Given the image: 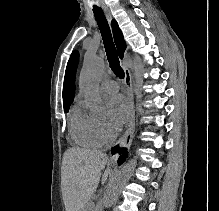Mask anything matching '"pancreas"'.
Segmentation results:
<instances>
[{"instance_id":"pancreas-1","label":"pancreas","mask_w":219,"mask_h":211,"mask_svg":"<svg viewBox=\"0 0 219 211\" xmlns=\"http://www.w3.org/2000/svg\"><path fill=\"white\" fill-rule=\"evenodd\" d=\"M96 204V200H87L85 207L87 211H98V207H96Z\"/></svg>"}]
</instances>
